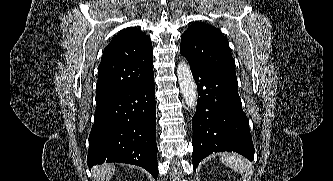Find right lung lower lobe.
<instances>
[{
  "label": "right lung lower lobe",
  "mask_w": 333,
  "mask_h": 181,
  "mask_svg": "<svg viewBox=\"0 0 333 181\" xmlns=\"http://www.w3.org/2000/svg\"><path fill=\"white\" fill-rule=\"evenodd\" d=\"M105 161L138 165L157 177L154 78L97 104L88 166Z\"/></svg>",
  "instance_id": "obj_1"
}]
</instances>
